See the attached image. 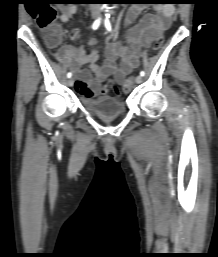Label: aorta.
<instances>
[{
  "label": "aorta",
  "instance_id": "762f6f07",
  "mask_svg": "<svg viewBox=\"0 0 218 257\" xmlns=\"http://www.w3.org/2000/svg\"><path fill=\"white\" fill-rule=\"evenodd\" d=\"M105 8L108 9V7H106V4H104Z\"/></svg>",
  "mask_w": 218,
  "mask_h": 257
}]
</instances>
